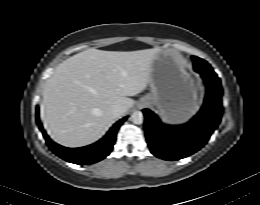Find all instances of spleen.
<instances>
[{
  "instance_id": "spleen-1",
  "label": "spleen",
  "mask_w": 260,
  "mask_h": 205,
  "mask_svg": "<svg viewBox=\"0 0 260 205\" xmlns=\"http://www.w3.org/2000/svg\"><path fill=\"white\" fill-rule=\"evenodd\" d=\"M186 121H188V120H185V121H183L182 123H185Z\"/></svg>"
}]
</instances>
